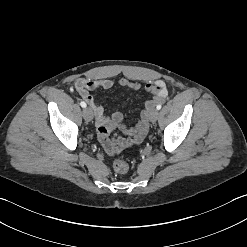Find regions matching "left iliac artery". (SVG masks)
<instances>
[{"mask_svg":"<svg viewBox=\"0 0 247 247\" xmlns=\"http://www.w3.org/2000/svg\"><path fill=\"white\" fill-rule=\"evenodd\" d=\"M161 107H162V105H161V104H158L157 107H156V109H157V110H160Z\"/></svg>","mask_w":247,"mask_h":247,"instance_id":"1","label":"left iliac artery"}]
</instances>
